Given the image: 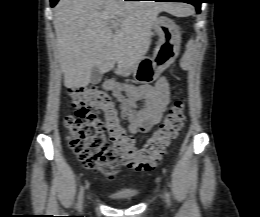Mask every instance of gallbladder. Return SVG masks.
I'll return each instance as SVG.
<instances>
[{
    "label": "gallbladder",
    "instance_id": "1",
    "mask_svg": "<svg viewBox=\"0 0 260 217\" xmlns=\"http://www.w3.org/2000/svg\"><path fill=\"white\" fill-rule=\"evenodd\" d=\"M102 79V73L98 67L94 66L91 70L90 83L95 85L98 84Z\"/></svg>",
    "mask_w": 260,
    "mask_h": 217
}]
</instances>
